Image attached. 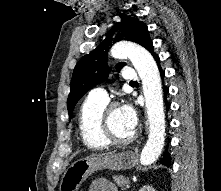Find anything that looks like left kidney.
<instances>
[{"label": "left kidney", "mask_w": 221, "mask_h": 191, "mask_svg": "<svg viewBox=\"0 0 221 191\" xmlns=\"http://www.w3.org/2000/svg\"><path fill=\"white\" fill-rule=\"evenodd\" d=\"M139 191H156L152 186L146 185L140 188Z\"/></svg>", "instance_id": "left-kidney-1"}]
</instances>
